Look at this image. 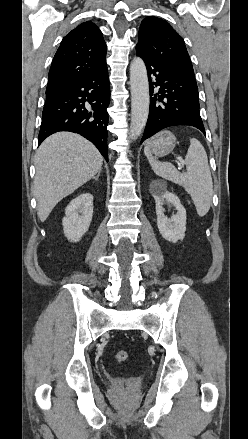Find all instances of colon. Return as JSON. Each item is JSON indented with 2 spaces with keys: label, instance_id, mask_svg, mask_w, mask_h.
Wrapping results in <instances>:
<instances>
[{
  "label": "colon",
  "instance_id": "1",
  "mask_svg": "<svg viewBox=\"0 0 248 439\" xmlns=\"http://www.w3.org/2000/svg\"><path fill=\"white\" fill-rule=\"evenodd\" d=\"M129 355L126 351H118L115 354V359L117 362H124L128 359Z\"/></svg>",
  "mask_w": 248,
  "mask_h": 439
}]
</instances>
